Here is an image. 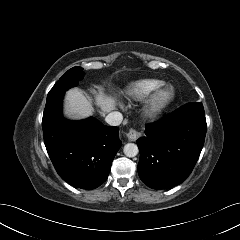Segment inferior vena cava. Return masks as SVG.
Returning a JSON list of instances; mask_svg holds the SVG:
<instances>
[{"instance_id": "obj_1", "label": "inferior vena cava", "mask_w": 240, "mask_h": 240, "mask_svg": "<svg viewBox=\"0 0 240 240\" xmlns=\"http://www.w3.org/2000/svg\"><path fill=\"white\" fill-rule=\"evenodd\" d=\"M123 120V116L120 112L117 111H113L111 113H109L106 118L105 121L112 126H118L121 124Z\"/></svg>"}]
</instances>
